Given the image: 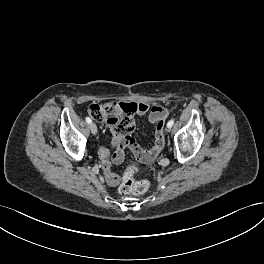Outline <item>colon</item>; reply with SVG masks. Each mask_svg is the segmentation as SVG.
Segmentation results:
<instances>
[{"label":"colon","instance_id":"5ec220e1","mask_svg":"<svg viewBox=\"0 0 264 264\" xmlns=\"http://www.w3.org/2000/svg\"><path fill=\"white\" fill-rule=\"evenodd\" d=\"M88 111L93 119L106 122L115 132L127 134L134 129V114L137 111L135 103L93 104L90 105ZM155 143L157 145L164 144V121H160L156 125ZM139 169L138 162H134L127 167L119 186V191L122 194L140 195L148 189V181L136 179Z\"/></svg>","mask_w":264,"mask_h":264}]
</instances>
